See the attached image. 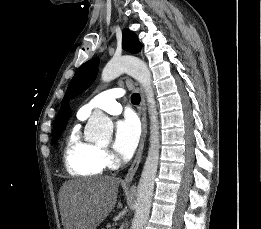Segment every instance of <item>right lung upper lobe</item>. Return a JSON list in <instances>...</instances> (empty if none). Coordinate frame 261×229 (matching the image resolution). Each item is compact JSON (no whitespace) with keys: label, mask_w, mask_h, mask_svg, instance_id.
<instances>
[{"label":"right lung upper lobe","mask_w":261,"mask_h":229,"mask_svg":"<svg viewBox=\"0 0 261 229\" xmlns=\"http://www.w3.org/2000/svg\"><path fill=\"white\" fill-rule=\"evenodd\" d=\"M70 116V108L69 104L65 103L59 110L54 125H61V124H66L67 120L69 119Z\"/></svg>","instance_id":"1"}]
</instances>
